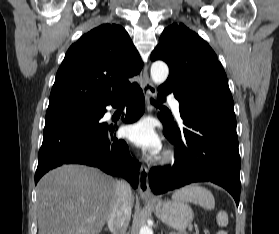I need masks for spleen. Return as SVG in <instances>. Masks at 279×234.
<instances>
[{
    "label": "spleen",
    "mask_w": 279,
    "mask_h": 234,
    "mask_svg": "<svg viewBox=\"0 0 279 234\" xmlns=\"http://www.w3.org/2000/svg\"><path fill=\"white\" fill-rule=\"evenodd\" d=\"M173 199L192 202L208 210L215 207V199L212 193L208 189L198 185H189L178 190L174 193ZM216 221L220 227H226L228 225V214L225 211H219L216 216ZM217 234H227V232L219 231Z\"/></svg>",
    "instance_id": "obj_1"
}]
</instances>
